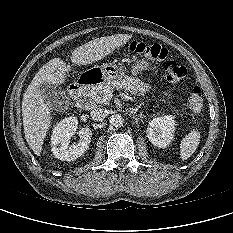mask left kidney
I'll return each mask as SVG.
<instances>
[{
    "label": "left kidney",
    "instance_id": "1",
    "mask_svg": "<svg viewBox=\"0 0 233 233\" xmlns=\"http://www.w3.org/2000/svg\"><path fill=\"white\" fill-rule=\"evenodd\" d=\"M175 120L172 115H164L153 118L146 130L147 137L151 143L158 148L168 146L174 136Z\"/></svg>",
    "mask_w": 233,
    "mask_h": 233
}]
</instances>
